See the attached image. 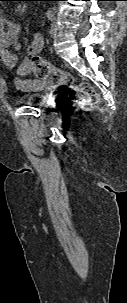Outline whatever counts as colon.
I'll list each match as a JSON object with an SVG mask.
<instances>
[{
    "mask_svg": "<svg viewBox=\"0 0 127 303\" xmlns=\"http://www.w3.org/2000/svg\"><path fill=\"white\" fill-rule=\"evenodd\" d=\"M31 63L36 75L43 79L49 87L68 88L69 92H62L59 100L63 105L75 104L93 105L97 101L93 87L88 83H77L75 78L68 72L53 67L50 62L39 56L32 55Z\"/></svg>",
    "mask_w": 127,
    "mask_h": 303,
    "instance_id": "5ec220e1",
    "label": "colon"
}]
</instances>
